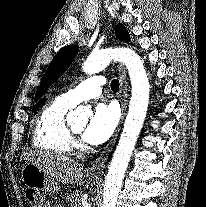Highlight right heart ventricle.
<instances>
[{
    "label": "right heart ventricle",
    "instance_id": "right-heart-ventricle-1",
    "mask_svg": "<svg viewBox=\"0 0 206 207\" xmlns=\"http://www.w3.org/2000/svg\"><path fill=\"white\" fill-rule=\"evenodd\" d=\"M74 106L63 95L50 101L35 120L32 135L33 146L57 153L72 152L75 142L66 123V114Z\"/></svg>",
    "mask_w": 206,
    "mask_h": 207
}]
</instances>
